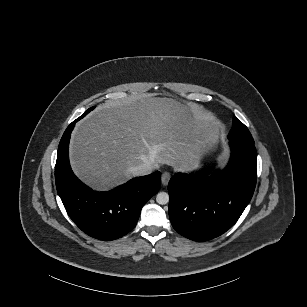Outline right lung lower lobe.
Segmentation results:
<instances>
[{
    "instance_id": "98d812e1",
    "label": "right lung lower lobe",
    "mask_w": 307,
    "mask_h": 307,
    "mask_svg": "<svg viewBox=\"0 0 307 307\" xmlns=\"http://www.w3.org/2000/svg\"><path fill=\"white\" fill-rule=\"evenodd\" d=\"M85 115L72 122L61 138L56 187L68 215L83 232L96 239L114 240L135 227L141 208L160 189L161 173L134 178L109 192H96L84 185L71 170L68 147L75 123Z\"/></svg>"
}]
</instances>
